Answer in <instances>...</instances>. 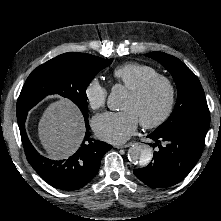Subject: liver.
I'll list each match as a JSON object with an SVG mask.
<instances>
[{
	"label": "liver",
	"instance_id": "obj_1",
	"mask_svg": "<svg viewBox=\"0 0 221 221\" xmlns=\"http://www.w3.org/2000/svg\"><path fill=\"white\" fill-rule=\"evenodd\" d=\"M85 125L81 112L69 100L61 98L44 111L38 135L51 159H64L72 155L84 137Z\"/></svg>",
	"mask_w": 221,
	"mask_h": 221
}]
</instances>
